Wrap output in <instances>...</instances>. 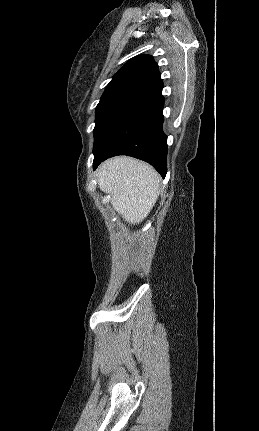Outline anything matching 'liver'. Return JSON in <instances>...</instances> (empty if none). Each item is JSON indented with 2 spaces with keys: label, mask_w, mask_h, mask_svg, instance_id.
I'll return each mask as SVG.
<instances>
[{
  "label": "liver",
  "mask_w": 259,
  "mask_h": 431,
  "mask_svg": "<svg viewBox=\"0 0 259 431\" xmlns=\"http://www.w3.org/2000/svg\"><path fill=\"white\" fill-rule=\"evenodd\" d=\"M160 175L137 159L120 156L103 162L97 170L99 188L111 195V205L131 224H139L155 205Z\"/></svg>",
  "instance_id": "6515ba94"
}]
</instances>
